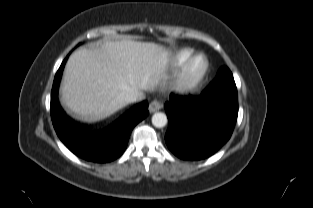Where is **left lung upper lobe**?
Listing matches in <instances>:
<instances>
[{"label": "left lung upper lobe", "instance_id": "obj_1", "mask_svg": "<svg viewBox=\"0 0 313 208\" xmlns=\"http://www.w3.org/2000/svg\"><path fill=\"white\" fill-rule=\"evenodd\" d=\"M215 79H219V80H223V81H229V82H234V78L233 75L231 73V71L227 68V67H222L216 78Z\"/></svg>", "mask_w": 313, "mask_h": 208}]
</instances>
